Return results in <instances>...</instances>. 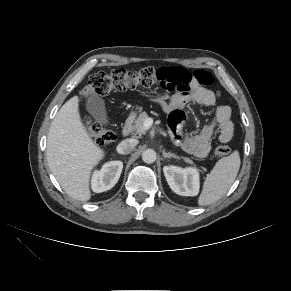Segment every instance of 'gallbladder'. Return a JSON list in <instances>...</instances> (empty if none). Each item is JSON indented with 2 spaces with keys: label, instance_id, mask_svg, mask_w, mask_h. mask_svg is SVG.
I'll return each instance as SVG.
<instances>
[{
  "label": "gallbladder",
  "instance_id": "obj_1",
  "mask_svg": "<svg viewBox=\"0 0 291 291\" xmlns=\"http://www.w3.org/2000/svg\"><path fill=\"white\" fill-rule=\"evenodd\" d=\"M86 111L100 124H107L108 116L105 102L95 93H90L85 103Z\"/></svg>",
  "mask_w": 291,
  "mask_h": 291
}]
</instances>
